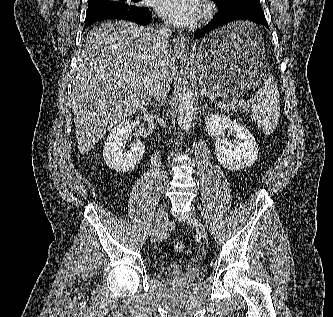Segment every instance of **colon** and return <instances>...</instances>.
<instances>
[{"label": "colon", "instance_id": "5ec220e1", "mask_svg": "<svg viewBox=\"0 0 333 317\" xmlns=\"http://www.w3.org/2000/svg\"><path fill=\"white\" fill-rule=\"evenodd\" d=\"M185 249V244L182 241H178L174 244V250L178 253L183 252Z\"/></svg>", "mask_w": 333, "mask_h": 317}]
</instances>
